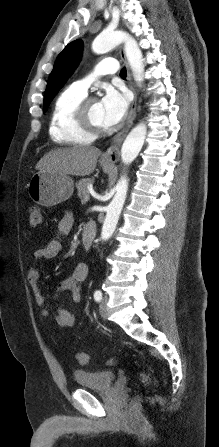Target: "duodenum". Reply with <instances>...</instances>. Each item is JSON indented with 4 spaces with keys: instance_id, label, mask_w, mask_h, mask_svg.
<instances>
[{
    "instance_id": "410a0bca",
    "label": "duodenum",
    "mask_w": 219,
    "mask_h": 447,
    "mask_svg": "<svg viewBox=\"0 0 219 447\" xmlns=\"http://www.w3.org/2000/svg\"><path fill=\"white\" fill-rule=\"evenodd\" d=\"M96 225L92 221H88L82 231V247L88 251L95 236Z\"/></svg>"
}]
</instances>
